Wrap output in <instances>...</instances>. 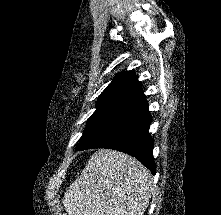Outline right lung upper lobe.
Listing matches in <instances>:
<instances>
[{
  "mask_svg": "<svg viewBox=\"0 0 221 215\" xmlns=\"http://www.w3.org/2000/svg\"><path fill=\"white\" fill-rule=\"evenodd\" d=\"M146 105L142 86L136 74L132 71H124L117 74L100 94L96 104L97 109L93 114L124 118Z\"/></svg>",
  "mask_w": 221,
  "mask_h": 215,
  "instance_id": "cb5924a9",
  "label": "right lung upper lobe"
}]
</instances>
